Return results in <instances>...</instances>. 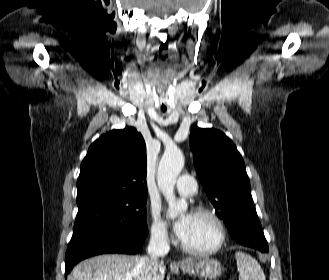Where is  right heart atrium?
<instances>
[{
  "instance_id": "obj_1",
  "label": "right heart atrium",
  "mask_w": 329,
  "mask_h": 280,
  "mask_svg": "<svg viewBox=\"0 0 329 280\" xmlns=\"http://www.w3.org/2000/svg\"><path fill=\"white\" fill-rule=\"evenodd\" d=\"M150 234L152 240L156 243L166 244L169 242V231L167 225L155 209L151 212Z\"/></svg>"
}]
</instances>
